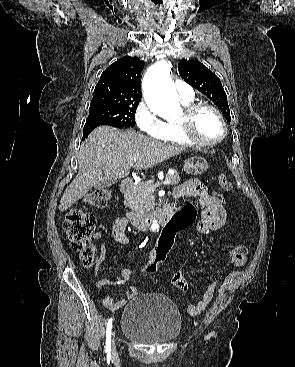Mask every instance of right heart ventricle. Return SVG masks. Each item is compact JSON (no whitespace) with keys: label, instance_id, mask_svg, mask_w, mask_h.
Here are the masks:
<instances>
[{"label":"right heart ventricle","instance_id":"1","mask_svg":"<svg viewBox=\"0 0 295 367\" xmlns=\"http://www.w3.org/2000/svg\"><path fill=\"white\" fill-rule=\"evenodd\" d=\"M192 103L191 101H182V104L187 107ZM165 142L181 145V146H194L191 141H189L183 134L177 121L167 122V131L164 137L161 139Z\"/></svg>","mask_w":295,"mask_h":367}]
</instances>
